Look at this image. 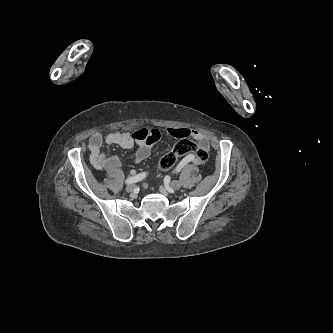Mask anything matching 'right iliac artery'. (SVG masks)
Masks as SVG:
<instances>
[{
  "instance_id": "obj_1",
  "label": "right iliac artery",
  "mask_w": 333,
  "mask_h": 333,
  "mask_svg": "<svg viewBox=\"0 0 333 333\" xmlns=\"http://www.w3.org/2000/svg\"><path fill=\"white\" fill-rule=\"evenodd\" d=\"M144 177H146V173H140L138 175L127 178L125 183L126 184L136 183V182L142 180Z\"/></svg>"
}]
</instances>
